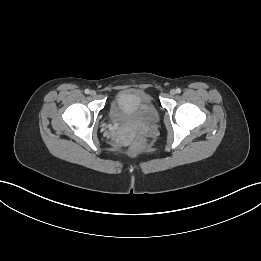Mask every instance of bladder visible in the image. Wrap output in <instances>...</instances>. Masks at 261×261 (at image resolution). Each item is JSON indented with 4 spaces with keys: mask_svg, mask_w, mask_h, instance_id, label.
I'll return each mask as SVG.
<instances>
[{
    "mask_svg": "<svg viewBox=\"0 0 261 261\" xmlns=\"http://www.w3.org/2000/svg\"><path fill=\"white\" fill-rule=\"evenodd\" d=\"M109 116L120 124L149 125L157 121L158 111L151 94L139 89H126L111 99Z\"/></svg>",
    "mask_w": 261,
    "mask_h": 261,
    "instance_id": "obj_1",
    "label": "bladder"
}]
</instances>
